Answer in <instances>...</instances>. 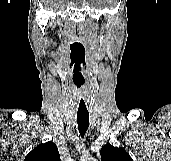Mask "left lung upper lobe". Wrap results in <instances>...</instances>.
<instances>
[{"label":"left lung upper lobe","mask_w":171,"mask_h":161,"mask_svg":"<svg viewBox=\"0 0 171 161\" xmlns=\"http://www.w3.org/2000/svg\"><path fill=\"white\" fill-rule=\"evenodd\" d=\"M100 155L102 161H133L123 148L114 147L110 144L102 147Z\"/></svg>","instance_id":"1"}]
</instances>
